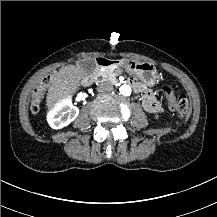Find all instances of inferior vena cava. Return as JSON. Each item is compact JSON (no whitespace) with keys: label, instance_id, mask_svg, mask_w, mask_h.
<instances>
[{"label":"inferior vena cava","instance_id":"obj_1","mask_svg":"<svg viewBox=\"0 0 217 217\" xmlns=\"http://www.w3.org/2000/svg\"><path fill=\"white\" fill-rule=\"evenodd\" d=\"M97 90L102 93H108L113 90V87L108 82L104 81L98 84Z\"/></svg>","mask_w":217,"mask_h":217}]
</instances>
